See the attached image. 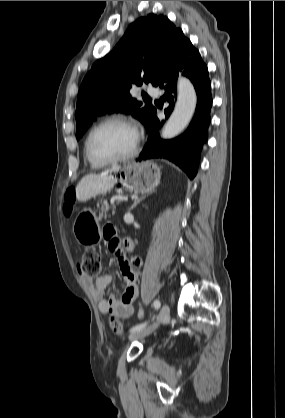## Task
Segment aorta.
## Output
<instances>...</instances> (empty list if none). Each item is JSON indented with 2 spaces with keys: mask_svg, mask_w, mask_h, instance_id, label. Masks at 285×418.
Returning a JSON list of instances; mask_svg holds the SVG:
<instances>
[{
  "mask_svg": "<svg viewBox=\"0 0 285 418\" xmlns=\"http://www.w3.org/2000/svg\"><path fill=\"white\" fill-rule=\"evenodd\" d=\"M177 90L178 96L175 108L161 133L164 139H171L181 133L191 121L196 108L197 95L189 79L180 77Z\"/></svg>",
  "mask_w": 285,
  "mask_h": 418,
  "instance_id": "aorta-1",
  "label": "aorta"
}]
</instances>
